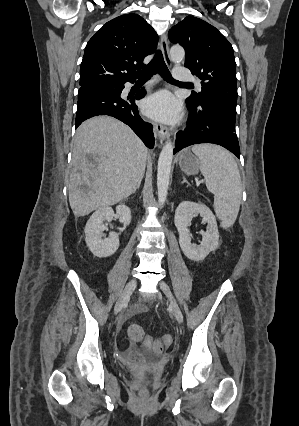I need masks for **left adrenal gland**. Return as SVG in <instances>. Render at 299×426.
Returning <instances> with one entry per match:
<instances>
[{"instance_id": "left-adrenal-gland-1", "label": "left adrenal gland", "mask_w": 299, "mask_h": 426, "mask_svg": "<svg viewBox=\"0 0 299 426\" xmlns=\"http://www.w3.org/2000/svg\"><path fill=\"white\" fill-rule=\"evenodd\" d=\"M182 183H186L187 185H189L188 181L186 180V178L183 176V181Z\"/></svg>"}]
</instances>
